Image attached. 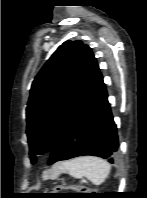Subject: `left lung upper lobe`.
I'll list each match as a JSON object with an SVG mask.
<instances>
[{
    "label": "left lung upper lobe",
    "mask_w": 147,
    "mask_h": 198,
    "mask_svg": "<svg viewBox=\"0 0 147 198\" xmlns=\"http://www.w3.org/2000/svg\"><path fill=\"white\" fill-rule=\"evenodd\" d=\"M99 67L81 41H66L35 77L26 108L32 164L52 151L95 83Z\"/></svg>",
    "instance_id": "5c2ea615"
}]
</instances>
